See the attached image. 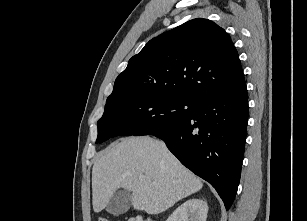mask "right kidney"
Listing matches in <instances>:
<instances>
[{
    "instance_id": "obj_1",
    "label": "right kidney",
    "mask_w": 307,
    "mask_h": 221,
    "mask_svg": "<svg viewBox=\"0 0 307 221\" xmlns=\"http://www.w3.org/2000/svg\"><path fill=\"white\" fill-rule=\"evenodd\" d=\"M208 213L207 202L201 199H189L180 205L166 221H206Z\"/></svg>"
}]
</instances>
